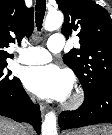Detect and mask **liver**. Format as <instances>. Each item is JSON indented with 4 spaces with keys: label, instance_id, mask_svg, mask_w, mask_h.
<instances>
[{
    "label": "liver",
    "instance_id": "6515ba94",
    "mask_svg": "<svg viewBox=\"0 0 112 135\" xmlns=\"http://www.w3.org/2000/svg\"><path fill=\"white\" fill-rule=\"evenodd\" d=\"M23 125L0 116V135H25Z\"/></svg>",
    "mask_w": 112,
    "mask_h": 135
}]
</instances>
